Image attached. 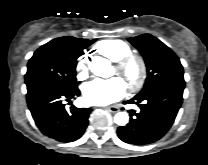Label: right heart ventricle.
Masks as SVG:
<instances>
[{"mask_svg": "<svg viewBox=\"0 0 208 165\" xmlns=\"http://www.w3.org/2000/svg\"><path fill=\"white\" fill-rule=\"evenodd\" d=\"M95 50L113 62L132 52L131 47L119 39L102 40L96 44Z\"/></svg>", "mask_w": 208, "mask_h": 165, "instance_id": "e07e8e85", "label": "right heart ventricle"}]
</instances>
